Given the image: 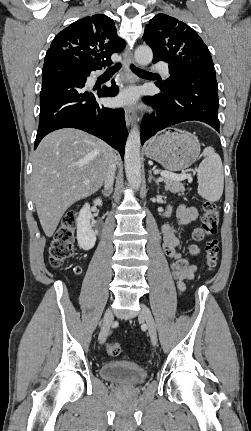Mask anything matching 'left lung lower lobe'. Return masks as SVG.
<instances>
[{"label":"left lung lower lobe","instance_id":"0a47b994","mask_svg":"<svg viewBox=\"0 0 251 431\" xmlns=\"http://www.w3.org/2000/svg\"><path fill=\"white\" fill-rule=\"evenodd\" d=\"M156 86L161 93L144 98L156 108L157 116H146L142 120L141 144L158 131L184 121H201L219 132L218 87L215 78L186 76L175 79L171 88H165L161 83H156Z\"/></svg>","mask_w":251,"mask_h":431}]
</instances>
